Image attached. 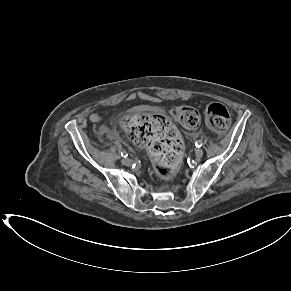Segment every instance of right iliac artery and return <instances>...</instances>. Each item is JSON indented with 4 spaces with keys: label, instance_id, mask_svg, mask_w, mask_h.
I'll return each mask as SVG.
<instances>
[{
    "label": "right iliac artery",
    "instance_id": "right-iliac-artery-1",
    "mask_svg": "<svg viewBox=\"0 0 291 291\" xmlns=\"http://www.w3.org/2000/svg\"><path fill=\"white\" fill-rule=\"evenodd\" d=\"M121 156H122V157H127V156H128V154H127V152H126V151H122V152H121Z\"/></svg>",
    "mask_w": 291,
    "mask_h": 291
}]
</instances>
